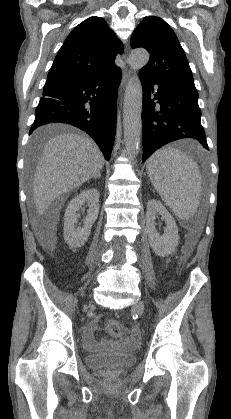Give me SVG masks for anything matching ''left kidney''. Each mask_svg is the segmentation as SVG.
<instances>
[{"label": "left kidney", "instance_id": "1", "mask_svg": "<svg viewBox=\"0 0 231 419\" xmlns=\"http://www.w3.org/2000/svg\"><path fill=\"white\" fill-rule=\"evenodd\" d=\"M157 215H161L166 223L163 235H160L155 228ZM146 230L149 244L156 255L168 256L179 244L178 228L174 218L161 202L154 199L147 203Z\"/></svg>", "mask_w": 231, "mask_h": 419}]
</instances>
